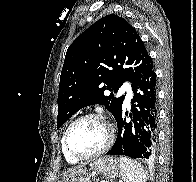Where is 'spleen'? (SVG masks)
Segmentation results:
<instances>
[{
  "mask_svg": "<svg viewBox=\"0 0 196 182\" xmlns=\"http://www.w3.org/2000/svg\"><path fill=\"white\" fill-rule=\"evenodd\" d=\"M118 162L120 175L124 182H146L147 174L141 165L124 156L119 157Z\"/></svg>",
  "mask_w": 196,
  "mask_h": 182,
  "instance_id": "obj_1",
  "label": "spleen"
}]
</instances>
